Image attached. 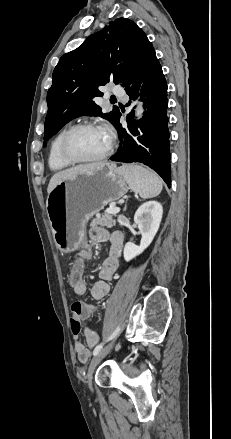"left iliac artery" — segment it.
<instances>
[{"label": "left iliac artery", "mask_w": 231, "mask_h": 439, "mask_svg": "<svg viewBox=\"0 0 231 439\" xmlns=\"http://www.w3.org/2000/svg\"><path fill=\"white\" fill-rule=\"evenodd\" d=\"M119 331H120V326H118L115 329V331L110 335V337H108V339L105 342H108L109 340H112L119 333ZM105 342H103V343L99 344L98 346H96V348L93 351V355L98 354L102 350L103 345L105 344Z\"/></svg>", "instance_id": "left-iliac-artery-1"}]
</instances>
